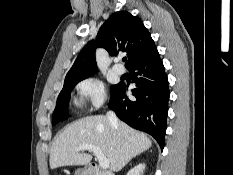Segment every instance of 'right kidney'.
<instances>
[{"mask_svg":"<svg viewBox=\"0 0 233 175\" xmlns=\"http://www.w3.org/2000/svg\"><path fill=\"white\" fill-rule=\"evenodd\" d=\"M144 169H145V164H138L137 166L129 170L127 175H143Z\"/></svg>","mask_w":233,"mask_h":175,"instance_id":"1","label":"right kidney"}]
</instances>
